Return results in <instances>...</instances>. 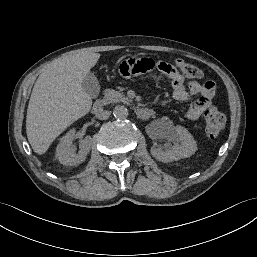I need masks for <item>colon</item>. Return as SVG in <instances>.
<instances>
[{"label": "colon", "instance_id": "5ec220e1", "mask_svg": "<svg viewBox=\"0 0 257 257\" xmlns=\"http://www.w3.org/2000/svg\"><path fill=\"white\" fill-rule=\"evenodd\" d=\"M172 67L180 70L184 74L185 80L190 77L198 79L203 75L198 67L183 60H176ZM224 125V115L218 109L211 107L205 112V129L210 138H216L223 130Z\"/></svg>", "mask_w": 257, "mask_h": 257}]
</instances>
